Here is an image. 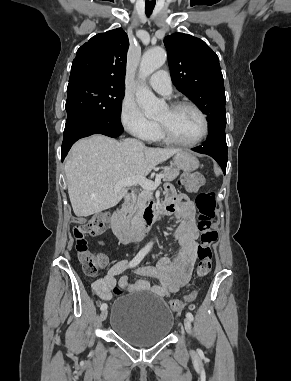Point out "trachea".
<instances>
[{"label": "trachea", "instance_id": "trachea-1", "mask_svg": "<svg viewBox=\"0 0 291 381\" xmlns=\"http://www.w3.org/2000/svg\"><path fill=\"white\" fill-rule=\"evenodd\" d=\"M155 7V2H148L146 1V4H145V14L147 16H150L152 14V11Z\"/></svg>", "mask_w": 291, "mask_h": 381}]
</instances>
